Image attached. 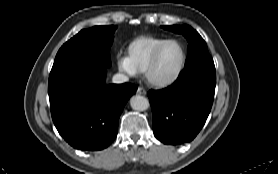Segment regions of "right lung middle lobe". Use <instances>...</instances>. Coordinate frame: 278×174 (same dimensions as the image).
I'll return each mask as SVG.
<instances>
[{
    "label": "right lung middle lobe",
    "mask_w": 278,
    "mask_h": 174,
    "mask_svg": "<svg viewBox=\"0 0 278 174\" xmlns=\"http://www.w3.org/2000/svg\"><path fill=\"white\" fill-rule=\"evenodd\" d=\"M116 26H95L83 29L58 51L52 69L70 62H89L109 67V49Z\"/></svg>",
    "instance_id": "obj_1"
}]
</instances>
